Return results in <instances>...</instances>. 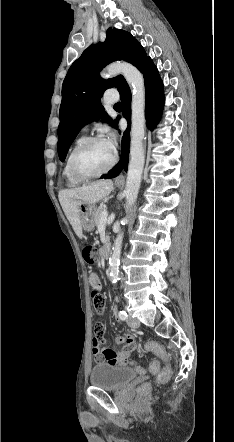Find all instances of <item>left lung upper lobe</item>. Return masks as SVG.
<instances>
[{
    "label": "left lung upper lobe",
    "instance_id": "obj_1",
    "mask_svg": "<svg viewBox=\"0 0 234 442\" xmlns=\"http://www.w3.org/2000/svg\"><path fill=\"white\" fill-rule=\"evenodd\" d=\"M147 58L143 47L130 33L109 28L104 43L90 45L71 65L62 85L59 113L57 146L61 161L85 124L102 118L116 127L117 121H112L104 112L100 97L106 89L116 87L119 91L127 83L121 75L103 80L100 70L116 60H125L141 70Z\"/></svg>",
    "mask_w": 234,
    "mask_h": 442
}]
</instances>
